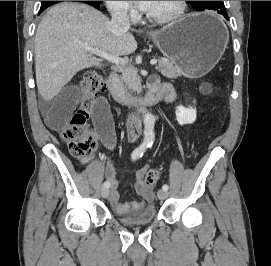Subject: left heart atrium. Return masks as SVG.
<instances>
[{
	"label": "left heart atrium",
	"instance_id": "left-heart-atrium-1",
	"mask_svg": "<svg viewBox=\"0 0 271 266\" xmlns=\"http://www.w3.org/2000/svg\"><path fill=\"white\" fill-rule=\"evenodd\" d=\"M135 2L139 6V8L144 11H148L153 3V1H135Z\"/></svg>",
	"mask_w": 271,
	"mask_h": 266
}]
</instances>
